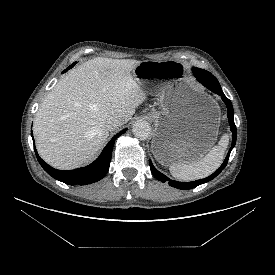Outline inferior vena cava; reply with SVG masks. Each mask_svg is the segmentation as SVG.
Returning a JSON list of instances; mask_svg holds the SVG:
<instances>
[{
  "label": "inferior vena cava",
  "instance_id": "obj_1",
  "mask_svg": "<svg viewBox=\"0 0 275 275\" xmlns=\"http://www.w3.org/2000/svg\"><path fill=\"white\" fill-rule=\"evenodd\" d=\"M124 124V120L120 116H112L106 121L108 130H115Z\"/></svg>",
  "mask_w": 275,
  "mask_h": 275
}]
</instances>
